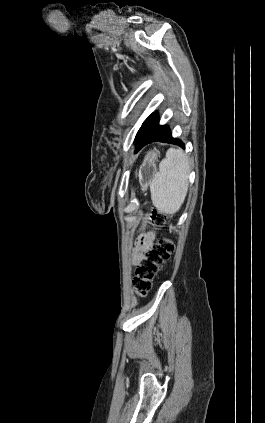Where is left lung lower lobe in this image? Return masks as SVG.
<instances>
[{"label": "left lung lower lobe", "mask_w": 265, "mask_h": 423, "mask_svg": "<svg viewBox=\"0 0 265 423\" xmlns=\"http://www.w3.org/2000/svg\"><path fill=\"white\" fill-rule=\"evenodd\" d=\"M154 141L173 143L184 148V144L181 140L172 137L169 127L166 125H159L157 113L151 114L139 129L135 138V152H138L142 147Z\"/></svg>", "instance_id": "obj_1"}]
</instances>
